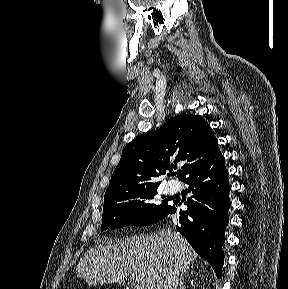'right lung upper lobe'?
Listing matches in <instances>:
<instances>
[{
    "instance_id": "1",
    "label": "right lung upper lobe",
    "mask_w": 288,
    "mask_h": 289,
    "mask_svg": "<svg viewBox=\"0 0 288 289\" xmlns=\"http://www.w3.org/2000/svg\"><path fill=\"white\" fill-rule=\"evenodd\" d=\"M220 152L208 123L196 115L169 119L161 128L136 137L124 148L106 194L158 187L155 179L185 164L178 178L184 181Z\"/></svg>"
}]
</instances>
